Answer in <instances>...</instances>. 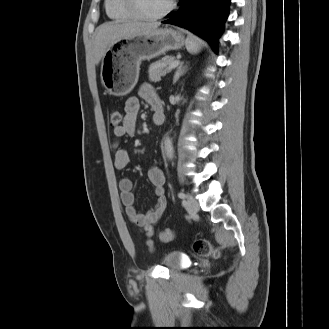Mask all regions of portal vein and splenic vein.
<instances>
[{"label": "portal vein and splenic vein", "mask_w": 329, "mask_h": 329, "mask_svg": "<svg viewBox=\"0 0 329 329\" xmlns=\"http://www.w3.org/2000/svg\"><path fill=\"white\" fill-rule=\"evenodd\" d=\"M179 64V59L175 60L174 62H172L170 64V66L168 67V70H172L173 68H175L177 65Z\"/></svg>", "instance_id": "portal-vein-and-splenic-vein-1"}]
</instances>
